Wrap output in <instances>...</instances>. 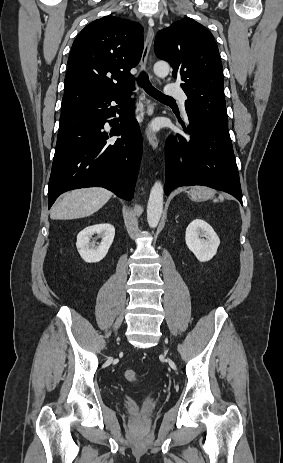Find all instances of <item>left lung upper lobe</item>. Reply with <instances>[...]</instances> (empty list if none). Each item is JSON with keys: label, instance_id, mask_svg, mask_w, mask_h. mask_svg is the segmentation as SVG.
<instances>
[{"label": "left lung upper lobe", "instance_id": "1", "mask_svg": "<svg viewBox=\"0 0 283 463\" xmlns=\"http://www.w3.org/2000/svg\"><path fill=\"white\" fill-rule=\"evenodd\" d=\"M154 49L170 63L172 76L183 81L187 113L228 125L222 62L211 32L186 17L159 31Z\"/></svg>", "mask_w": 283, "mask_h": 463}]
</instances>
